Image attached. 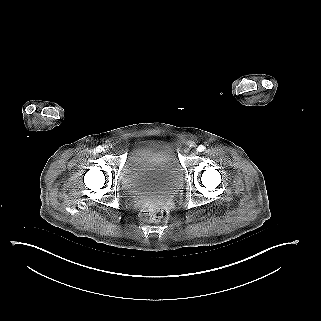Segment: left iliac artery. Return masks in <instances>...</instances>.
I'll use <instances>...</instances> for the list:
<instances>
[{
	"instance_id": "44dca946",
	"label": "left iliac artery",
	"mask_w": 321,
	"mask_h": 321,
	"mask_svg": "<svg viewBox=\"0 0 321 321\" xmlns=\"http://www.w3.org/2000/svg\"><path fill=\"white\" fill-rule=\"evenodd\" d=\"M197 150H198L199 152H202V151L205 150V146L199 145L198 148H197Z\"/></svg>"
}]
</instances>
